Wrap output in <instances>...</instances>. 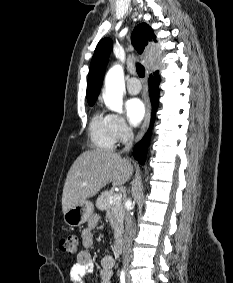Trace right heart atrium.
I'll return each instance as SVG.
<instances>
[{"label": "right heart atrium", "instance_id": "d8ad5b80", "mask_svg": "<svg viewBox=\"0 0 233 283\" xmlns=\"http://www.w3.org/2000/svg\"><path fill=\"white\" fill-rule=\"evenodd\" d=\"M112 131L116 142H124L131 137V129L125 119L117 114L110 115Z\"/></svg>", "mask_w": 233, "mask_h": 283}]
</instances>
